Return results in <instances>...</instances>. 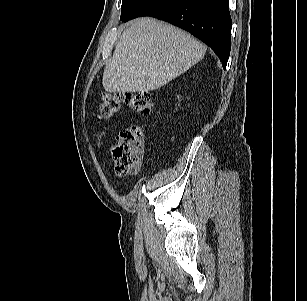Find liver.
<instances>
[{
  "instance_id": "1",
  "label": "liver",
  "mask_w": 307,
  "mask_h": 301,
  "mask_svg": "<svg viewBox=\"0 0 307 301\" xmlns=\"http://www.w3.org/2000/svg\"><path fill=\"white\" fill-rule=\"evenodd\" d=\"M206 46L185 31L153 18L134 20L120 36L103 73L107 92L159 89L205 55Z\"/></svg>"
}]
</instances>
